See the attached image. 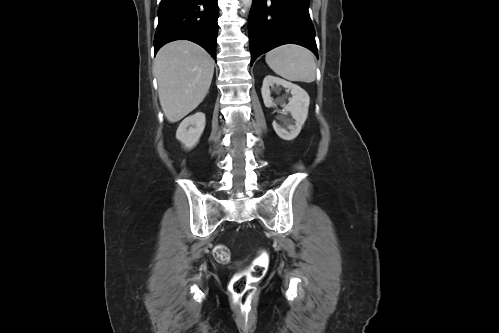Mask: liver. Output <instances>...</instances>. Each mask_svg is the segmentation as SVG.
I'll return each instance as SVG.
<instances>
[{"instance_id": "liver-1", "label": "liver", "mask_w": 499, "mask_h": 333, "mask_svg": "<svg viewBox=\"0 0 499 333\" xmlns=\"http://www.w3.org/2000/svg\"><path fill=\"white\" fill-rule=\"evenodd\" d=\"M153 71L164 115L175 123L205 98L213 78L214 60L196 43L177 40L158 51Z\"/></svg>"}]
</instances>
